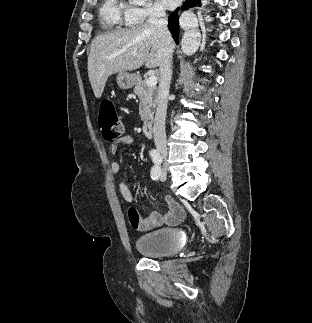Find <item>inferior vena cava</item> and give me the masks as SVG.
<instances>
[{
  "instance_id": "602c4592",
  "label": "inferior vena cava",
  "mask_w": 312,
  "mask_h": 323,
  "mask_svg": "<svg viewBox=\"0 0 312 323\" xmlns=\"http://www.w3.org/2000/svg\"><path fill=\"white\" fill-rule=\"evenodd\" d=\"M157 28L158 36L161 38V62H160V82L157 94V110L155 114L153 134L154 142L158 150L167 152L165 120L167 114V98L169 96L170 82L172 76V56L174 52L173 38L167 28V18L165 10H155L148 20Z\"/></svg>"
}]
</instances>
